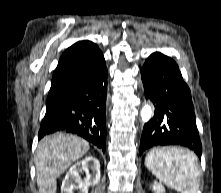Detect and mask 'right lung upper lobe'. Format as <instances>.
<instances>
[{
    "label": "right lung upper lobe",
    "mask_w": 221,
    "mask_h": 193,
    "mask_svg": "<svg viewBox=\"0 0 221 193\" xmlns=\"http://www.w3.org/2000/svg\"><path fill=\"white\" fill-rule=\"evenodd\" d=\"M103 59L102 52L91 41H79L70 46L54 71L47 102L64 99Z\"/></svg>",
    "instance_id": "cb5924a9"
}]
</instances>
